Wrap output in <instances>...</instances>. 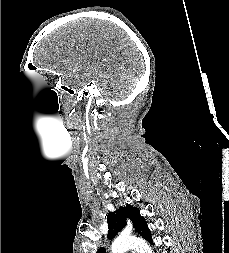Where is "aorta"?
Masks as SVG:
<instances>
[{
    "label": "aorta",
    "mask_w": 229,
    "mask_h": 253,
    "mask_svg": "<svg viewBox=\"0 0 229 253\" xmlns=\"http://www.w3.org/2000/svg\"><path fill=\"white\" fill-rule=\"evenodd\" d=\"M129 249L136 250L137 253H153L150 246L140 238H117L111 247L112 253H125Z\"/></svg>",
    "instance_id": "aorta-1"
}]
</instances>
